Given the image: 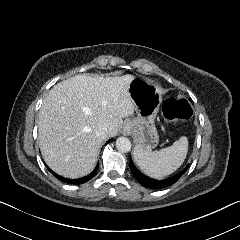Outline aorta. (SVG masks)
I'll return each mask as SVG.
<instances>
[{
	"mask_svg": "<svg viewBox=\"0 0 240 240\" xmlns=\"http://www.w3.org/2000/svg\"><path fill=\"white\" fill-rule=\"evenodd\" d=\"M116 148L121 153H127V152H129L131 150V142L126 137H119L116 140Z\"/></svg>",
	"mask_w": 240,
	"mask_h": 240,
	"instance_id": "1",
	"label": "aorta"
}]
</instances>
